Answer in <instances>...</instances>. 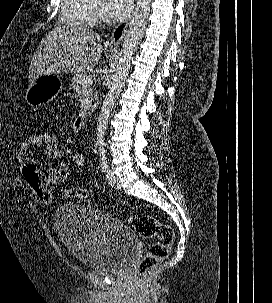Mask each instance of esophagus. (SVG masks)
Here are the masks:
<instances>
[{"label": "esophagus", "mask_w": 272, "mask_h": 303, "mask_svg": "<svg viewBox=\"0 0 272 303\" xmlns=\"http://www.w3.org/2000/svg\"><path fill=\"white\" fill-rule=\"evenodd\" d=\"M129 22H130V17L115 27L110 38L105 43V45L107 47L117 48L120 45V43L126 33Z\"/></svg>", "instance_id": "esophagus-1"}]
</instances>
